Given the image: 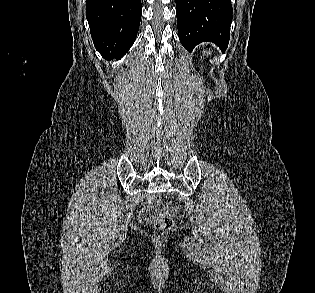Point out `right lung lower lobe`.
I'll use <instances>...</instances> for the list:
<instances>
[{
    "label": "right lung lower lobe",
    "mask_w": 315,
    "mask_h": 293,
    "mask_svg": "<svg viewBox=\"0 0 315 293\" xmlns=\"http://www.w3.org/2000/svg\"><path fill=\"white\" fill-rule=\"evenodd\" d=\"M141 14V0H87L86 18L103 58L127 53L137 37Z\"/></svg>",
    "instance_id": "obj_1"
}]
</instances>
